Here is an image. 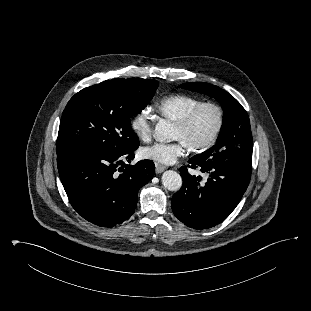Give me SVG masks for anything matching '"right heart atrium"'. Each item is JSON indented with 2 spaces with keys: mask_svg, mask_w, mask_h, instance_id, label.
Segmentation results:
<instances>
[{
  "mask_svg": "<svg viewBox=\"0 0 311 311\" xmlns=\"http://www.w3.org/2000/svg\"><path fill=\"white\" fill-rule=\"evenodd\" d=\"M133 133L141 141H149L152 136V117L149 108L140 110L133 116L130 122Z\"/></svg>",
  "mask_w": 311,
  "mask_h": 311,
  "instance_id": "obj_1",
  "label": "right heart atrium"
}]
</instances>
